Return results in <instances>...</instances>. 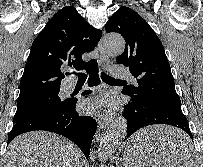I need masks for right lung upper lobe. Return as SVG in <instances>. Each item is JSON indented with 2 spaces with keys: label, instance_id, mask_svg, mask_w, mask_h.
<instances>
[{
  "label": "right lung upper lobe",
  "instance_id": "1",
  "mask_svg": "<svg viewBox=\"0 0 203 167\" xmlns=\"http://www.w3.org/2000/svg\"><path fill=\"white\" fill-rule=\"evenodd\" d=\"M102 31L91 26L72 6L59 10L35 38L20 81L17 106L60 91L64 68H96L82 60L92 51Z\"/></svg>",
  "mask_w": 203,
  "mask_h": 167
}]
</instances>
